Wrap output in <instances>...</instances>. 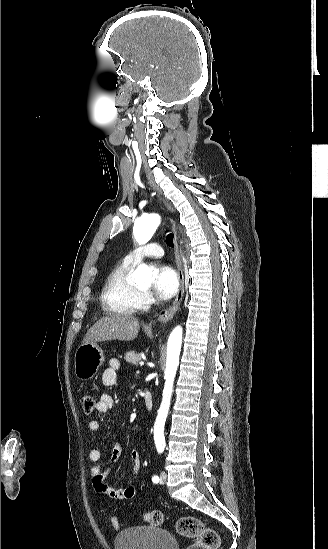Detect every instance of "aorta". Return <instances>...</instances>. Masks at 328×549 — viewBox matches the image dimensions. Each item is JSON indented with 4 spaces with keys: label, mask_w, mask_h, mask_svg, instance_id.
Instances as JSON below:
<instances>
[{
    "label": "aorta",
    "mask_w": 328,
    "mask_h": 549,
    "mask_svg": "<svg viewBox=\"0 0 328 549\" xmlns=\"http://www.w3.org/2000/svg\"><path fill=\"white\" fill-rule=\"evenodd\" d=\"M161 223L160 215L156 213L147 214L138 218L133 227V234L138 244L147 243ZM133 280L140 285L150 286L153 280V271L146 264H141L133 273ZM183 329L176 326L171 332L167 343L166 369L164 372V389L162 402L154 424V441L158 451H164L166 443L164 437V426L168 415L173 384L179 365V356L182 344Z\"/></svg>",
    "instance_id": "obj_1"
}]
</instances>
